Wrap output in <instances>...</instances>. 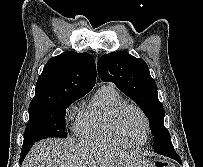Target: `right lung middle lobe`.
Here are the masks:
<instances>
[{"instance_id": "obj_1", "label": "right lung middle lobe", "mask_w": 203, "mask_h": 167, "mask_svg": "<svg viewBox=\"0 0 203 167\" xmlns=\"http://www.w3.org/2000/svg\"><path fill=\"white\" fill-rule=\"evenodd\" d=\"M80 97L59 99L50 104L29 106V121L24 134V143L44 138L63 137L66 109Z\"/></svg>"}]
</instances>
